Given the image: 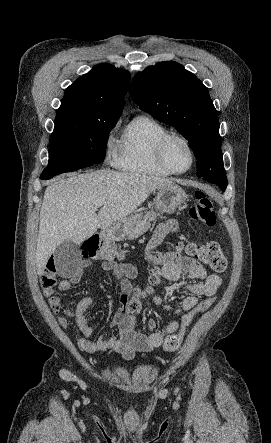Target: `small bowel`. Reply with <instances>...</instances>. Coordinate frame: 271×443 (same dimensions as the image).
<instances>
[{"mask_svg":"<svg viewBox=\"0 0 271 443\" xmlns=\"http://www.w3.org/2000/svg\"><path fill=\"white\" fill-rule=\"evenodd\" d=\"M176 228L177 225L174 221L160 224L150 239L146 252L149 262L162 264V273L165 278L171 281L189 280L186 289L191 294L175 304L177 319L168 321L160 331L157 330L156 322L153 319H148L145 332L138 330L136 321L128 309L132 292L130 280L137 275L136 268L132 264L117 263L113 260L105 261L102 264L104 271L114 274L122 291L123 307L113 320V325L118 327L117 335H101L97 339L93 338L92 326L85 317L86 310L93 302L91 296L83 298L75 310H70L63 307L61 299L55 295L53 288L44 290L43 294L59 324L67 330H71L75 325L79 330L76 340L80 350L89 353L112 351L120 353L127 359H133L138 353L149 352L159 347L166 336L176 332L180 316L184 312L190 311L198 303V297L211 296L216 293L222 283V276L218 273H207L194 258L178 251L166 253L162 258L156 257L157 247ZM89 266L88 261H82L68 278L58 284L57 291L63 292L77 285L84 270Z\"/></svg>","mask_w":271,"mask_h":443,"instance_id":"c3829d8e","label":"small bowel"}]
</instances>
